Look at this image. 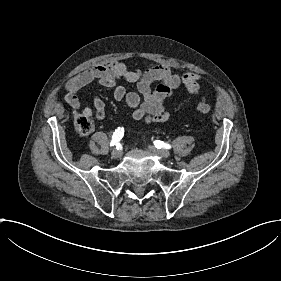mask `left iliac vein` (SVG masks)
<instances>
[{
	"label": "left iliac vein",
	"instance_id": "obj_1",
	"mask_svg": "<svg viewBox=\"0 0 281 281\" xmlns=\"http://www.w3.org/2000/svg\"><path fill=\"white\" fill-rule=\"evenodd\" d=\"M149 148H150V152H152V153H154V155L156 154V155H160V156H162V157H168L169 156V151L168 150H166V149H162V150H157V149H155V147H151L150 145H149Z\"/></svg>",
	"mask_w": 281,
	"mask_h": 281
}]
</instances>
